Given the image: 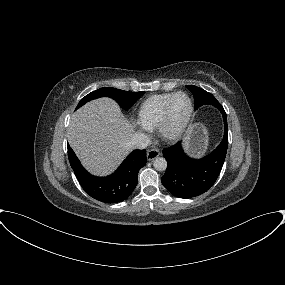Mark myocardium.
Here are the masks:
<instances>
[{
  "label": "myocardium",
  "mask_w": 285,
  "mask_h": 285,
  "mask_svg": "<svg viewBox=\"0 0 285 285\" xmlns=\"http://www.w3.org/2000/svg\"><path fill=\"white\" fill-rule=\"evenodd\" d=\"M179 95H185L188 98L190 109H189V114L186 120L184 121V123L180 127L173 129L170 126V110H171V105H172L173 100ZM193 117H194V103L191 97L189 96V94H187L184 91L175 92L168 99V101L166 102L164 106L162 118L158 125L159 135L161 136L162 139L168 142H175L181 139L185 135L187 130L189 129L192 123Z\"/></svg>",
  "instance_id": "f54148a6"
}]
</instances>
